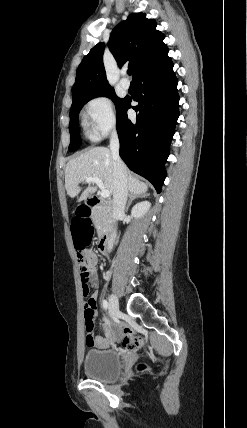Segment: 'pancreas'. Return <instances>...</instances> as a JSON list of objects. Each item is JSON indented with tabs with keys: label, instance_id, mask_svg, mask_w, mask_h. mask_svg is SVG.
Listing matches in <instances>:
<instances>
[{
	"label": "pancreas",
	"instance_id": "cf45deb5",
	"mask_svg": "<svg viewBox=\"0 0 247 428\" xmlns=\"http://www.w3.org/2000/svg\"><path fill=\"white\" fill-rule=\"evenodd\" d=\"M93 221L99 233H102L110 228V214L102 207H95L93 210Z\"/></svg>",
	"mask_w": 247,
	"mask_h": 428
}]
</instances>
